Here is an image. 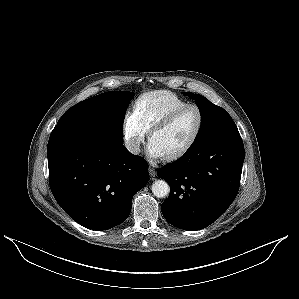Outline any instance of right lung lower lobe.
Instances as JSON below:
<instances>
[{
	"label": "right lung lower lobe",
	"mask_w": 299,
	"mask_h": 299,
	"mask_svg": "<svg viewBox=\"0 0 299 299\" xmlns=\"http://www.w3.org/2000/svg\"><path fill=\"white\" fill-rule=\"evenodd\" d=\"M47 157L56 201L73 220L92 230L125 221L133 195L148 182L145 161L131 154L123 139L101 131L57 125Z\"/></svg>",
	"instance_id": "1"
}]
</instances>
